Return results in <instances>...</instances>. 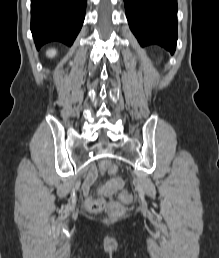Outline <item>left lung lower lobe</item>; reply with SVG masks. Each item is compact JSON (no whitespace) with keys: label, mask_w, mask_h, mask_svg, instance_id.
I'll return each instance as SVG.
<instances>
[{"label":"left lung lower lobe","mask_w":219,"mask_h":258,"mask_svg":"<svg viewBox=\"0 0 219 258\" xmlns=\"http://www.w3.org/2000/svg\"><path fill=\"white\" fill-rule=\"evenodd\" d=\"M131 31L142 47L160 45L172 54L177 42V0H124Z\"/></svg>","instance_id":"left-lung-lower-lobe-1"}]
</instances>
